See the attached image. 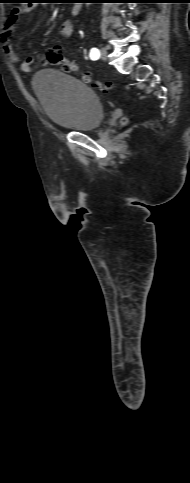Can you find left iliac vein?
Listing matches in <instances>:
<instances>
[{
	"label": "left iliac vein",
	"instance_id": "left-iliac-vein-1",
	"mask_svg": "<svg viewBox=\"0 0 190 483\" xmlns=\"http://www.w3.org/2000/svg\"><path fill=\"white\" fill-rule=\"evenodd\" d=\"M107 50L106 48H102L101 51H100V58L103 60V61H106L107 60Z\"/></svg>",
	"mask_w": 190,
	"mask_h": 483
}]
</instances>
